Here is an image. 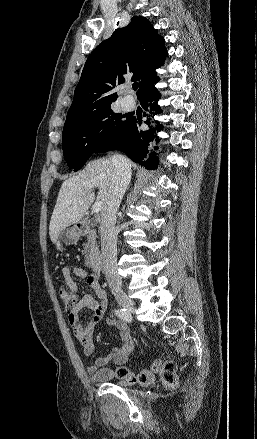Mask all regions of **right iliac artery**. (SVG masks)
<instances>
[{
  "instance_id": "1",
  "label": "right iliac artery",
  "mask_w": 257,
  "mask_h": 439,
  "mask_svg": "<svg viewBox=\"0 0 257 439\" xmlns=\"http://www.w3.org/2000/svg\"><path fill=\"white\" fill-rule=\"evenodd\" d=\"M115 314L125 321L130 322L132 320L131 314L127 311V309H117L115 310Z\"/></svg>"
}]
</instances>
